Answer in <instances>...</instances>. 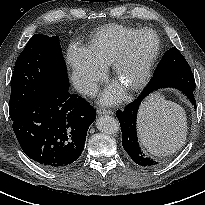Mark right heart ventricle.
Instances as JSON below:
<instances>
[{
	"label": "right heart ventricle",
	"instance_id": "obj_1",
	"mask_svg": "<svg viewBox=\"0 0 205 205\" xmlns=\"http://www.w3.org/2000/svg\"><path fill=\"white\" fill-rule=\"evenodd\" d=\"M138 31L120 25L106 26L95 34L89 53L99 64L110 65L125 49L128 40Z\"/></svg>",
	"mask_w": 205,
	"mask_h": 205
}]
</instances>
